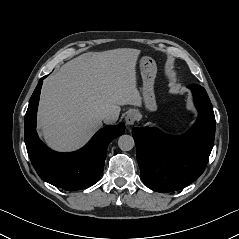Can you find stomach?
Here are the masks:
<instances>
[{
    "mask_svg": "<svg viewBox=\"0 0 239 239\" xmlns=\"http://www.w3.org/2000/svg\"><path fill=\"white\" fill-rule=\"evenodd\" d=\"M140 71L143 81L142 99L145 108L148 111H155L157 103L154 92V81L157 73V66L155 61L148 56H144L140 60Z\"/></svg>",
    "mask_w": 239,
    "mask_h": 239,
    "instance_id": "0dacf381",
    "label": "stomach"
}]
</instances>
